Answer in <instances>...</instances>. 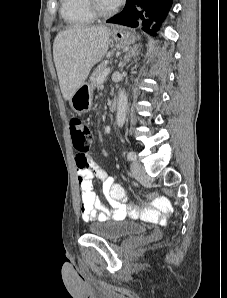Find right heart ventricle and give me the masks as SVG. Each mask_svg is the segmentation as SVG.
<instances>
[{"label":"right heart ventricle","mask_w":227,"mask_h":298,"mask_svg":"<svg viewBox=\"0 0 227 298\" xmlns=\"http://www.w3.org/2000/svg\"><path fill=\"white\" fill-rule=\"evenodd\" d=\"M60 13L70 26H87L94 22L95 16L88 7V0H61Z\"/></svg>","instance_id":"e07e8e85"}]
</instances>
